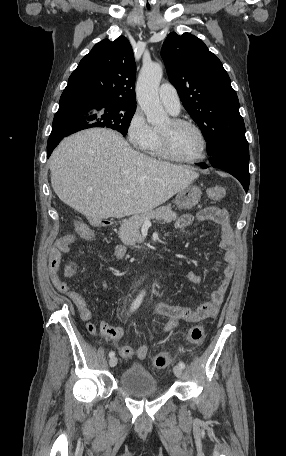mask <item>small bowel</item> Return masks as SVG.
Segmentation results:
<instances>
[{
  "instance_id": "1",
  "label": "small bowel",
  "mask_w": 286,
  "mask_h": 456,
  "mask_svg": "<svg viewBox=\"0 0 286 456\" xmlns=\"http://www.w3.org/2000/svg\"><path fill=\"white\" fill-rule=\"evenodd\" d=\"M194 221H211L218 223L221 226V247L225 250L224 260L227 266L224 269L223 279L220 281L218 287L212 292L210 299L206 303L195 308L171 305L165 302H158L156 304L157 313L169 318V321L164 328L165 332H170L175 329L181 321L197 322L213 317L217 313L234 275L236 265V244L228 211L221 207H206L198 211L195 215L186 214L179 217L176 221V227L178 229H185L191 226ZM82 237L91 240L93 238V233L91 232V234L87 236L82 235ZM73 242V235L65 236L58 240L56 248L50 251L49 266L51 281L58 291L66 294L68 299L76 307L80 318L87 322L86 327L88 332L95 335L97 333V327L94 323L90 322L92 314L85 299L79 292L70 289L59 275L61 255L71 249ZM112 253L115 258L123 260L127 255V249L125 246L116 245L113 247ZM187 278L193 284H199L202 281V278L194 271H189L187 273ZM101 283L102 288L106 289V282L102 280ZM122 317H125L124 314ZM99 330L107 340L114 343H118L124 334L121 327H112L104 320L100 321ZM118 351L120 355L126 359H129L134 355V350L129 345L119 346Z\"/></svg>"
}]
</instances>
